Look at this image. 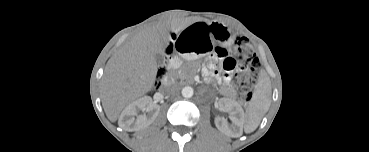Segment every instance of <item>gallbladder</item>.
Masks as SVG:
<instances>
[{
	"instance_id": "1",
	"label": "gallbladder",
	"mask_w": 369,
	"mask_h": 152,
	"mask_svg": "<svg viewBox=\"0 0 369 152\" xmlns=\"http://www.w3.org/2000/svg\"><path fill=\"white\" fill-rule=\"evenodd\" d=\"M157 59H158V62H161L162 61V58L161 57H158Z\"/></svg>"
}]
</instances>
